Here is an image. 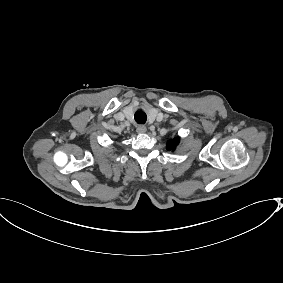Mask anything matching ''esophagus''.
I'll list each match as a JSON object with an SVG mask.
<instances>
[{"label":"esophagus","instance_id":"1","mask_svg":"<svg viewBox=\"0 0 283 283\" xmlns=\"http://www.w3.org/2000/svg\"><path fill=\"white\" fill-rule=\"evenodd\" d=\"M137 133L141 134V133H145L147 131L146 126L144 125H140L137 127L136 129Z\"/></svg>","mask_w":283,"mask_h":283}]
</instances>
